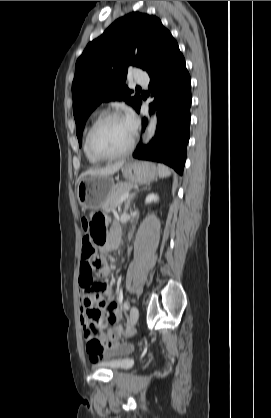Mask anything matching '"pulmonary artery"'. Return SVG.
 Instances as JSON below:
<instances>
[{
    "mask_svg": "<svg viewBox=\"0 0 271 418\" xmlns=\"http://www.w3.org/2000/svg\"><path fill=\"white\" fill-rule=\"evenodd\" d=\"M135 81L141 85H147L149 82V77L144 73H139L135 76Z\"/></svg>",
    "mask_w": 271,
    "mask_h": 418,
    "instance_id": "1",
    "label": "pulmonary artery"
}]
</instances>
